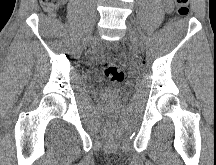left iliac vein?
<instances>
[{
  "label": "left iliac vein",
  "mask_w": 216,
  "mask_h": 165,
  "mask_svg": "<svg viewBox=\"0 0 216 165\" xmlns=\"http://www.w3.org/2000/svg\"><path fill=\"white\" fill-rule=\"evenodd\" d=\"M127 35L134 47L138 48L140 46L138 33L130 22L127 23Z\"/></svg>",
  "instance_id": "4c4485c4"
}]
</instances>
